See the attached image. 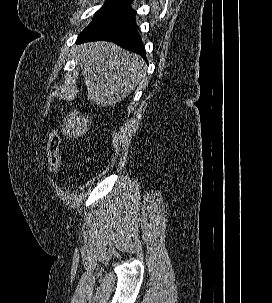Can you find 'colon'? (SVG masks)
<instances>
[{
    "mask_svg": "<svg viewBox=\"0 0 272 303\" xmlns=\"http://www.w3.org/2000/svg\"><path fill=\"white\" fill-rule=\"evenodd\" d=\"M60 138L57 133L52 132L47 144V164L50 172L56 173L60 167Z\"/></svg>",
    "mask_w": 272,
    "mask_h": 303,
    "instance_id": "1",
    "label": "colon"
}]
</instances>
